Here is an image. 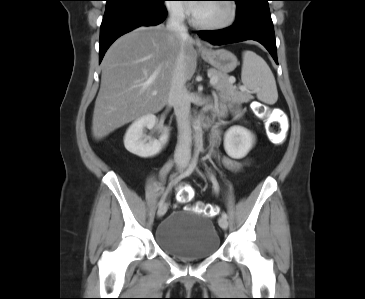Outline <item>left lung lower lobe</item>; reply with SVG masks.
<instances>
[{"label": "left lung lower lobe", "instance_id": "0a47b994", "mask_svg": "<svg viewBox=\"0 0 365 299\" xmlns=\"http://www.w3.org/2000/svg\"><path fill=\"white\" fill-rule=\"evenodd\" d=\"M269 0H247L237 3L236 22L228 28L199 31L198 35L213 44L236 43L254 40L261 43L277 61V50Z\"/></svg>", "mask_w": 365, "mask_h": 299}]
</instances>
